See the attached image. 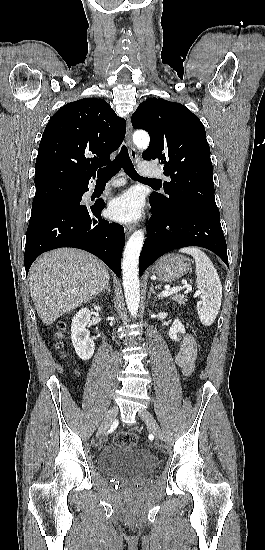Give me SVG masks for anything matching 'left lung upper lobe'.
I'll return each mask as SVG.
<instances>
[{
    "mask_svg": "<svg viewBox=\"0 0 265 550\" xmlns=\"http://www.w3.org/2000/svg\"><path fill=\"white\" fill-rule=\"evenodd\" d=\"M135 129L150 135L142 153L145 160H158L164 174V192L150 195L159 210L193 206L220 215L214 197L213 169L206 132L199 118L180 103L149 98L132 115Z\"/></svg>",
    "mask_w": 265,
    "mask_h": 550,
    "instance_id": "left-lung-upper-lobe-1",
    "label": "left lung upper lobe"
}]
</instances>
